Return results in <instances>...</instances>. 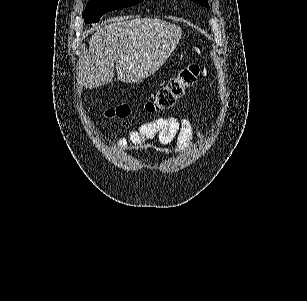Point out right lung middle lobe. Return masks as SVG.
Segmentation results:
<instances>
[{
    "instance_id": "1",
    "label": "right lung middle lobe",
    "mask_w": 307,
    "mask_h": 301,
    "mask_svg": "<svg viewBox=\"0 0 307 301\" xmlns=\"http://www.w3.org/2000/svg\"><path fill=\"white\" fill-rule=\"evenodd\" d=\"M142 0H89L82 13L86 23H97L107 12L137 5Z\"/></svg>"
}]
</instances>
